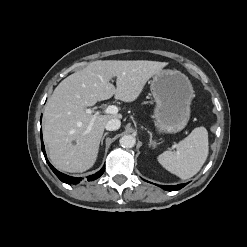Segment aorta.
Listing matches in <instances>:
<instances>
[{
  "label": "aorta",
  "instance_id": "aorta-1",
  "mask_svg": "<svg viewBox=\"0 0 247 247\" xmlns=\"http://www.w3.org/2000/svg\"><path fill=\"white\" fill-rule=\"evenodd\" d=\"M119 142L123 148H132L136 144V138L133 135L127 134L122 136Z\"/></svg>",
  "mask_w": 247,
  "mask_h": 247
}]
</instances>
